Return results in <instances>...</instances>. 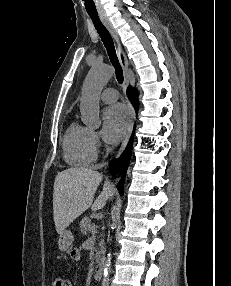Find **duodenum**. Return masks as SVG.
<instances>
[{
  "instance_id": "410a0bca",
  "label": "duodenum",
  "mask_w": 231,
  "mask_h": 286,
  "mask_svg": "<svg viewBox=\"0 0 231 286\" xmlns=\"http://www.w3.org/2000/svg\"><path fill=\"white\" fill-rule=\"evenodd\" d=\"M103 270H104V266L102 262H99L94 270V278L96 280H101L102 276H103Z\"/></svg>"
}]
</instances>
